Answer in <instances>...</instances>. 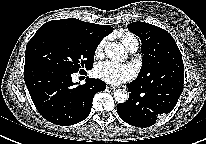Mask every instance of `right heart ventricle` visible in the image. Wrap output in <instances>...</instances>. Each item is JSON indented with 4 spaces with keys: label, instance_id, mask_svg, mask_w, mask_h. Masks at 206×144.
I'll return each instance as SVG.
<instances>
[{
    "label": "right heart ventricle",
    "instance_id": "1",
    "mask_svg": "<svg viewBox=\"0 0 206 144\" xmlns=\"http://www.w3.org/2000/svg\"><path fill=\"white\" fill-rule=\"evenodd\" d=\"M116 36L120 39L123 45L128 49L138 48V40L137 38L126 30H120L116 33Z\"/></svg>",
    "mask_w": 206,
    "mask_h": 144
}]
</instances>
